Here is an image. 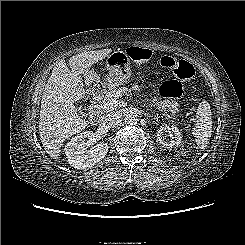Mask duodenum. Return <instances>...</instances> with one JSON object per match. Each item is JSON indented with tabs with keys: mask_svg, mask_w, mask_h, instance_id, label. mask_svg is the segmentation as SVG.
I'll return each instance as SVG.
<instances>
[{
	"mask_svg": "<svg viewBox=\"0 0 245 245\" xmlns=\"http://www.w3.org/2000/svg\"><path fill=\"white\" fill-rule=\"evenodd\" d=\"M105 92V87L101 84L96 85L92 88L91 92H90V97L92 99H98L100 98ZM93 115L97 116L96 112H93Z\"/></svg>",
	"mask_w": 245,
	"mask_h": 245,
	"instance_id": "410a0bca",
	"label": "duodenum"
}]
</instances>
